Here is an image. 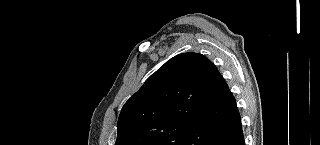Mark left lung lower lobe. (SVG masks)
I'll use <instances>...</instances> for the list:
<instances>
[{
	"label": "left lung lower lobe",
	"instance_id": "left-lung-lower-lobe-1",
	"mask_svg": "<svg viewBox=\"0 0 320 145\" xmlns=\"http://www.w3.org/2000/svg\"><path fill=\"white\" fill-rule=\"evenodd\" d=\"M208 87L209 107L187 133L183 145H244L236 101L217 69Z\"/></svg>",
	"mask_w": 320,
	"mask_h": 145
}]
</instances>
